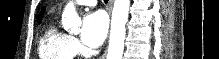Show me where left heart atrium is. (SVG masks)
I'll list each match as a JSON object with an SVG mask.
<instances>
[{
  "instance_id": "39dd6f15",
  "label": "left heart atrium",
  "mask_w": 219,
  "mask_h": 59,
  "mask_svg": "<svg viewBox=\"0 0 219 59\" xmlns=\"http://www.w3.org/2000/svg\"><path fill=\"white\" fill-rule=\"evenodd\" d=\"M108 20L101 11L90 12L83 19L81 40L89 47L100 46L106 38Z\"/></svg>"
}]
</instances>
